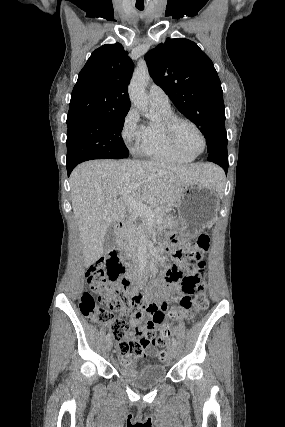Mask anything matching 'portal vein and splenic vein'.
I'll use <instances>...</instances> for the list:
<instances>
[{"mask_svg":"<svg viewBox=\"0 0 285 427\" xmlns=\"http://www.w3.org/2000/svg\"><path fill=\"white\" fill-rule=\"evenodd\" d=\"M138 185H136L135 187H137ZM125 200L128 202L130 208L132 209V211L135 214H139L141 216H144L146 218H153L154 214L157 212V210H155L154 212H152L146 205H144L142 202L134 199L133 197H127L125 194L121 193Z\"/></svg>","mask_w":285,"mask_h":427,"instance_id":"18ae733b","label":"portal vein and splenic vein"}]
</instances>
